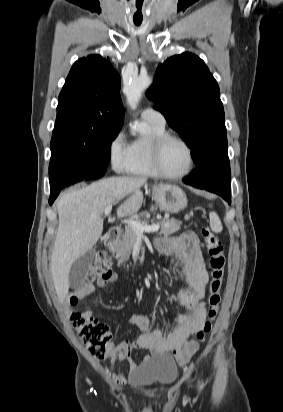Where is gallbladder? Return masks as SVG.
<instances>
[{
  "label": "gallbladder",
  "mask_w": 283,
  "mask_h": 412,
  "mask_svg": "<svg viewBox=\"0 0 283 412\" xmlns=\"http://www.w3.org/2000/svg\"><path fill=\"white\" fill-rule=\"evenodd\" d=\"M94 257L95 249L93 248L74 261L69 272L70 287L75 288L84 282Z\"/></svg>",
  "instance_id": "obj_1"
}]
</instances>
